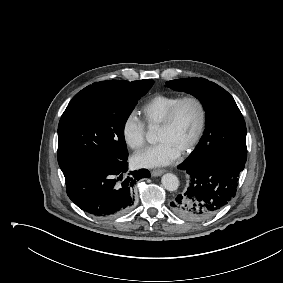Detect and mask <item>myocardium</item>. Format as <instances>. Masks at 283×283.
Here are the masks:
<instances>
[{
    "mask_svg": "<svg viewBox=\"0 0 283 283\" xmlns=\"http://www.w3.org/2000/svg\"><path fill=\"white\" fill-rule=\"evenodd\" d=\"M186 102H193L198 107V110H199V123H198V127H197V130H196L193 138L184 147V149L181 151L183 154H186V153L192 151L197 146V144L199 143V141H200V139H201V137H202V135L204 133L205 126H206V121H207V110H206V106H205L204 102L202 101V99L199 98L198 96H195V95H187V96L181 97L172 106V108L167 113L164 121L159 126L160 129H169V128H171L174 125V123H175V120L177 118V115L179 113L180 108Z\"/></svg>",
    "mask_w": 283,
    "mask_h": 283,
    "instance_id": "obj_1",
    "label": "myocardium"
}]
</instances>
